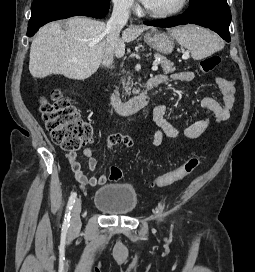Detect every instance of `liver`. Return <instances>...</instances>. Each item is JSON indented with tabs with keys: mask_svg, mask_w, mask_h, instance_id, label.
<instances>
[{
	"mask_svg": "<svg viewBox=\"0 0 255 272\" xmlns=\"http://www.w3.org/2000/svg\"><path fill=\"white\" fill-rule=\"evenodd\" d=\"M149 26H130L118 39L113 56L122 57L125 42L135 40ZM106 24L88 17H72L51 22L40 28L30 48L29 71L34 78L51 74L84 80L93 75L105 59L107 49Z\"/></svg>",
	"mask_w": 255,
	"mask_h": 272,
	"instance_id": "6515ba94",
	"label": "liver"
}]
</instances>
